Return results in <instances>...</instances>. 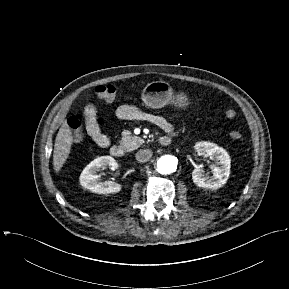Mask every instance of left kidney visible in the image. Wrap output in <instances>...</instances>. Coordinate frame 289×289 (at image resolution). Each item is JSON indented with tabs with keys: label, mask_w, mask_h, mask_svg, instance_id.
Instances as JSON below:
<instances>
[{
	"label": "left kidney",
	"mask_w": 289,
	"mask_h": 289,
	"mask_svg": "<svg viewBox=\"0 0 289 289\" xmlns=\"http://www.w3.org/2000/svg\"><path fill=\"white\" fill-rule=\"evenodd\" d=\"M197 152L206 153L209 157L218 161V166L212 167V176L204 174L203 169L197 167L192 172L193 182L206 189L216 190L222 187L228 180L230 174L231 159L225 149L210 142H198L195 144Z\"/></svg>",
	"instance_id": "5707ae66"
}]
</instances>
